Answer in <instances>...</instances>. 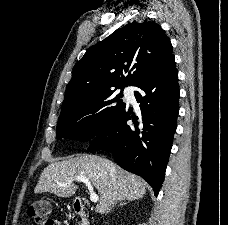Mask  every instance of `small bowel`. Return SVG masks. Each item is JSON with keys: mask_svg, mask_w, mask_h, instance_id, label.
<instances>
[{"mask_svg": "<svg viewBox=\"0 0 228 225\" xmlns=\"http://www.w3.org/2000/svg\"><path fill=\"white\" fill-rule=\"evenodd\" d=\"M53 225H61V223L54 220V224Z\"/></svg>", "mask_w": 228, "mask_h": 225, "instance_id": "obj_1", "label": "small bowel"}]
</instances>
